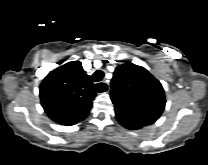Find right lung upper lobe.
I'll return each instance as SVG.
<instances>
[{
    "instance_id": "1",
    "label": "right lung upper lobe",
    "mask_w": 208,
    "mask_h": 165,
    "mask_svg": "<svg viewBox=\"0 0 208 165\" xmlns=\"http://www.w3.org/2000/svg\"><path fill=\"white\" fill-rule=\"evenodd\" d=\"M90 76L79 61L68 62L51 71L40 85L44 111L54 122L71 126L88 115L96 93Z\"/></svg>"
}]
</instances>
